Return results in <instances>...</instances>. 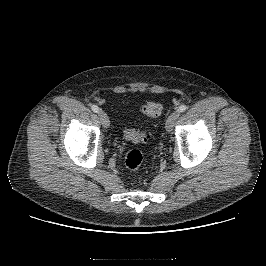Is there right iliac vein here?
Wrapping results in <instances>:
<instances>
[{
	"label": "right iliac vein",
	"instance_id": "1",
	"mask_svg": "<svg viewBox=\"0 0 266 266\" xmlns=\"http://www.w3.org/2000/svg\"><path fill=\"white\" fill-rule=\"evenodd\" d=\"M98 115H99V118H100V121H101L103 127L107 129L109 127V124H110V121H109L107 114L104 111H99Z\"/></svg>",
	"mask_w": 266,
	"mask_h": 266
}]
</instances>
